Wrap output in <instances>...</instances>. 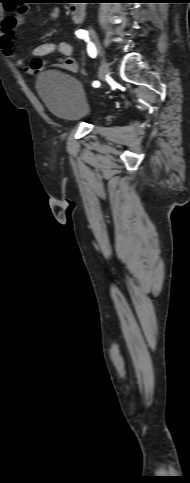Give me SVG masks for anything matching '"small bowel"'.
<instances>
[{
    "label": "small bowel",
    "mask_w": 190,
    "mask_h": 483,
    "mask_svg": "<svg viewBox=\"0 0 190 483\" xmlns=\"http://www.w3.org/2000/svg\"><path fill=\"white\" fill-rule=\"evenodd\" d=\"M27 11V6H19L14 14L7 15L3 18L0 28V47L4 54L27 74L37 75L47 64V61L42 59V57L52 53H59L63 58L59 59L52 67L62 69L69 73H76L78 71V64L72 57L73 46L63 40H50L38 44L32 51L33 59L30 63H26L14 53L12 35L18 27L24 24V17ZM50 15L53 19H56L59 16L58 9L52 7Z\"/></svg>",
    "instance_id": "1"
}]
</instances>
